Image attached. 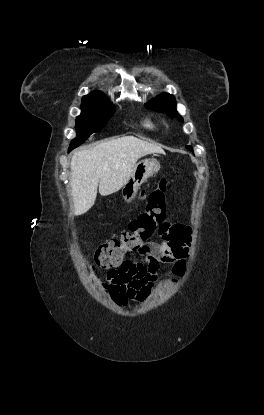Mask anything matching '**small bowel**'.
I'll use <instances>...</instances> for the list:
<instances>
[{
    "label": "small bowel",
    "mask_w": 264,
    "mask_h": 415,
    "mask_svg": "<svg viewBox=\"0 0 264 415\" xmlns=\"http://www.w3.org/2000/svg\"><path fill=\"white\" fill-rule=\"evenodd\" d=\"M190 241V230L176 223L162 243L146 244L138 251L139 257L127 260L124 268L108 271L102 282L103 289L112 297L124 289L123 305L144 301L150 294L160 265L184 261L188 257Z\"/></svg>",
    "instance_id": "obj_1"
}]
</instances>
